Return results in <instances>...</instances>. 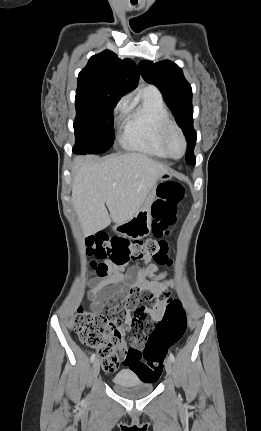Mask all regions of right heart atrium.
I'll return each mask as SVG.
<instances>
[{
    "instance_id": "right-heart-atrium-1",
    "label": "right heart atrium",
    "mask_w": 261,
    "mask_h": 431,
    "mask_svg": "<svg viewBox=\"0 0 261 431\" xmlns=\"http://www.w3.org/2000/svg\"><path fill=\"white\" fill-rule=\"evenodd\" d=\"M127 107H128V98L124 97L117 103L115 107V116L117 119H120L121 117H123Z\"/></svg>"
}]
</instances>
